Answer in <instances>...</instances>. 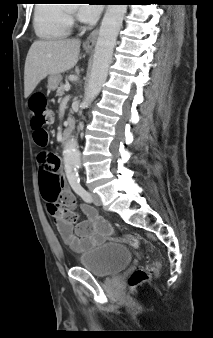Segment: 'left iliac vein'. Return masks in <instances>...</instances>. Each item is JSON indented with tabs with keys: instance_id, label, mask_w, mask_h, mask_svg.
Wrapping results in <instances>:
<instances>
[{
	"instance_id": "left-iliac-vein-1",
	"label": "left iliac vein",
	"mask_w": 213,
	"mask_h": 338,
	"mask_svg": "<svg viewBox=\"0 0 213 338\" xmlns=\"http://www.w3.org/2000/svg\"><path fill=\"white\" fill-rule=\"evenodd\" d=\"M92 201L96 206H100L102 204L101 198L97 193H91Z\"/></svg>"
}]
</instances>
